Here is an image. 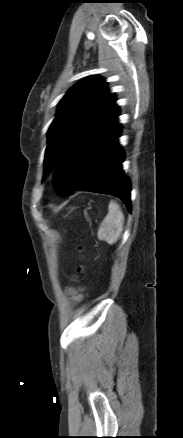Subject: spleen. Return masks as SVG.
<instances>
[{"label":"spleen","mask_w":183,"mask_h":438,"mask_svg":"<svg viewBox=\"0 0 183 438\" xmlns=\"http://www.w3.org/2000/svg\"><path fill=\"white\" fill-rule=\"evenodd\" d=\"M124 225V215L121 207L114 200L110 201L108 214L98 229V239L112 245L119 239Z\"/></svg>","instance_id":"spleen-1"}]
</instances>
